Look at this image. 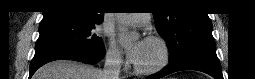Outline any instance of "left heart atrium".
I'll return each mask as SVG.
<instances>
[{"mask_svg": "<svg viewBox=\"0 0 255 79\" xmlns=\"http://www.w3.org/2000/svg\"><path fill=\"white\" fill-rule=\"evenodd\" d=\"M144 46H145V41L140 40L128 50V56L132 62L134 63L137 62V60L139 59V57L141 56L143 52Z\"/></svg>", "mask_w": 255, "mask_h": 79, "instance_id": "left-heart-atrium-1", "label": "left heart atrium"}]
</instances>
